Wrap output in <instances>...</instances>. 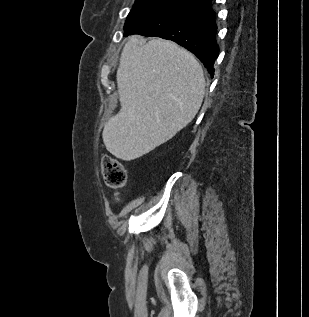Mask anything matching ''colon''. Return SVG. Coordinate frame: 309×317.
Listing matches in <instances>:
<instances>
[{"label":"colon","instance_id":"5ec220e1","mask_svg":"<svg viewBox=\"0 0 309 317\" xmlns=\"http://www.w3.org/2000/svg\"><path fill=\"white\" fill-rule=\"evenodd\" d=\"M102 174L105 183L114 189H119L126 183V171L123 165L110 157L102 160Z\"/></svg>","mask_w":309,"mask_h":317}]
</instances>
